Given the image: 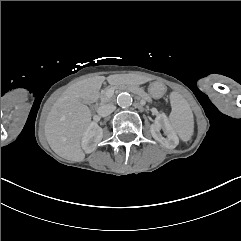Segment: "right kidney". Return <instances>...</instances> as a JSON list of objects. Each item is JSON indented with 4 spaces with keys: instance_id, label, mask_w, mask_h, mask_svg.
Here are the masks:
<instances>
[{
    "instance_id": "right-kidney-1",
    "label": "right kidney",
    "mask_w": 241,
    "mask_h": 241,
    "mask_svg": "<svg viewBox=\"0 0 241 241\" xmlns=\"http://www.w3.org/2000/svg\"><path fill=\"white\" fill-rule=\"evenodd\" d=\"M103 138V130L98 126L97 123L93 122L90 124L83 137L82 145L83 149L87 153L94 152L97 149V145Z\"/></svg>"
}]
</instances>
